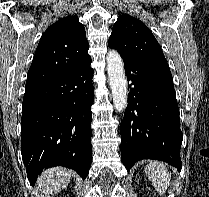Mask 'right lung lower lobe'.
Returning a JSON list of instances; mask_svg holds the SVG:
<instances>
[{
	"label": "right lung lower lobe",
	"mask_w": 209,
	"mask_h": 197,
	"mask_svg": "<svg viewBox=\"0 0 209 197\" xmlns=\"http://www.w3.org/2000/svg\"><path fill=\"white\" fill-rule=\"evenodd\" d=\"M91 58L73 70L25 89L21 153L34 184L43 169L64 166L83 179L92 161L91 105L94 100Z\"/></svg>",
	"instance_id": "obj_1"
}]
</instances>
